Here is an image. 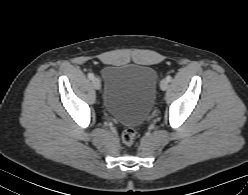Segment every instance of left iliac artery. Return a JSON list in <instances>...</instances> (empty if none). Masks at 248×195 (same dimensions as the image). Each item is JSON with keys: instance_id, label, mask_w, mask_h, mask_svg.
Segmentation results:
<instances>
[{"instance_id": "left-iliac-artery-1", "label": "left iliac artery", "mask_w": 248, "mask_h": 195, "mask_svg": "<svg viewBox=\"0 0 248 195\" xmlns=\"http://www.w3.org/2000/svg\"><path fill=\"white\" fill-rule=\"evenodd\" d=\"M166 79H167L168 82H170L172 80V77L171 76H167Z\"/></svg>"}]
</instances>
